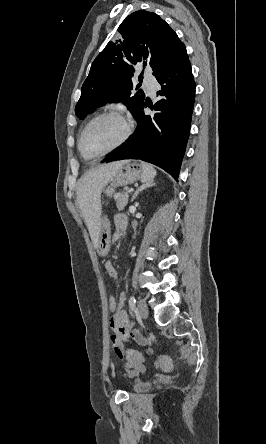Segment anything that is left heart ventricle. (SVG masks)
Segmentation results:
<instances>
[{
	"mask_svg": "<svg viewBox=\"0 0 266 444\" xmlns=\"http://www.w3.org/2000/svg\"><path fill=\"white\" fill-rule=\"evenodd\" d=\"M124 133L122 122L115 117H103L96 120L86 130L83 148L88 155H96L111 148Z\"/></svg>",
	"mask_w": 266,
	"mask_h": 444,
	"instance_id": "obj_1",
	"label": "left heart ventricle"
}]
</instances>
